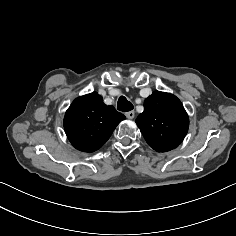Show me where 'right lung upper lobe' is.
I'll use <instances>...</instances> for the list:
<instances>
[{
	"label": "right lung upper lobe",
	"mask_w": 236,
	"mask_h": 236,
	"mask_svg": "<svg viewBox=\"0 0 236 236\" xmlns=\"http://www.w3.org/2000/svg\"><path fill=\"white\" fill-rule=\"evenodd\" d=\"M124 119L122 113L104 104L102 97L93 92L72 102L64 117V129L77 150L94 152L106 143Z\"/></svg>",
	"instance_id": "right-lung-upper-lobe-1"
}]
</instances>
